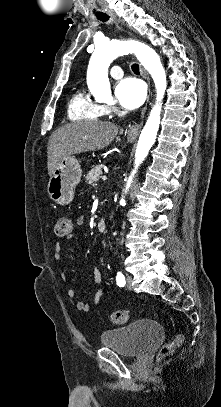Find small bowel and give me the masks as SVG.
I'll return each instance as SVG.
<instances>
[{"label":"small bowel","mask_w":221,"mask_h":407,"mask_svg":"<svg viewBox=\"0 0 221 407\" xmlns=\"http://www.w3.org/2000/svg\"><path fill=\"white\" fill-rule=\"evenodd\" d=\"M76 224L78 227H84L86 224L85 217L83 215H80L77 218ZM68 237H70V236H68ZM61 251H62V245L60 242H57L54 246L55 258H60ZM62 278H63V280H65V277L63 274H62ZM101 281H102V272L99 268H96L93 272V282L97 285V290L95 292L92 305L98 304L101 299V296L103 294V287L100 285ZM67 295L69 298H75L76 292L73 289H69L67 291ZM76 308L79 311L88 312L91 309V304L86 301H83V300H78L76 303Z\"/></svg>","instance_id":"small-bowel-1"}]
</instances>
